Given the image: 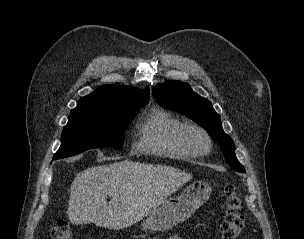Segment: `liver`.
Instances as JSON below:
<instances>
[{
    "label": "liver",
    "mask_w": 304,
    "mask_h": 239,
    "mask_svg": "<svg viewBox=\"0 0 304 239\" xmlns=\"http://www.w3.org/2000/svg\"><path fill=\"white\" fill-rule=\"evenodd\" d=\"M191 179L171 166L129 160L91 167L74 178L67 214L72 224L122 229L150 215Z\"/></svg>",
    "instance_id": "liver-1"
}]
</instances>
